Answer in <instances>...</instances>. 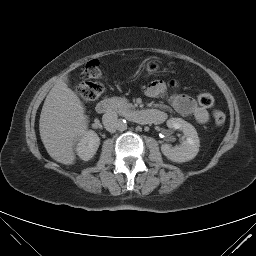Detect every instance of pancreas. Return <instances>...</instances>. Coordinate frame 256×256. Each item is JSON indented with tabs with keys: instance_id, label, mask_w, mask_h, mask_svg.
<instances>
[{
	"instance_id": "1",
	"label": "pancreas",
	"mask_w": 256,
	"mask_h": 256,
	"mask_svg": "<svg viewBox=\"0 0 256 256\" xmlns=\"http://www.w3.org/2000/svg\"><path fill=\"white\" fill-rule=\"evenodd\" d=\"M112 100L114 102V108L121 113L128 112L134 108V106L125 98L114 97Z\"/></svg>"
}]
</instances>
